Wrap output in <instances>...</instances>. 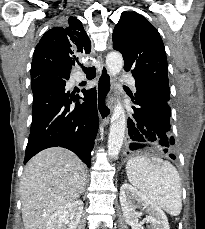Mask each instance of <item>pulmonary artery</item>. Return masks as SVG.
Wrapping results in <instances>:
<instances>
[{"label": "pulmonary artery", "instance_id": "obj_1", "mask_svg": "<svg viewBox=\"0 0 205 229\" xmlns=\"http://www.w3.org/2000/svg\"><path fill=\"white\" fill-rule=\"evenodd\" d=\"M121 81L135 88V80L131 75L126 73L122 74Z\"/></svg>", "mask_w": 205, "mask_h": 229}]
</instances>
